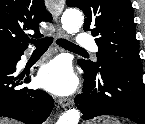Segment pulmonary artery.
<instances>
[{
    "mask_svg": "<svg viewBox=\"0 0 145 124\" xmlns=\"http://www.w3.org/2000/svg\"><path fill=\"white\" fill-rule=\"evenodd\" d=\"M77 45L82 48H89L93 52L98 51V48L93 41V37L85 32L80 33L78 36Z\"/></svg>",
    "mask_w": 145,
    "mask_h": 124,
    "instance_id": "pulmonary-artery-1",
    "label": "pulmonary artery"
}]
</instances>
